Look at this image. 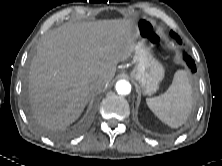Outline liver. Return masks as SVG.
<instances>
[{
	"label": "liver",
	"mask_w": 222,
	"mask_h": 166,
	"mask_svg": "<svg viewBox=\"0 0 222 166\" xmlns=\"http://www.w3.org/2000/svg\"><path fill=\"white\" fill-rule=\"evenodd\" d=\"M132 19L67 23L48 31L31 61L29 97L38 123L64 130L76 121L97 80L108 84L116 65L135 51Z\"/></svg>",
	"instance_id": "1"
}]
</instances>
